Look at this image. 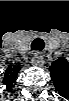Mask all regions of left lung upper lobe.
I'll return each instance as SVG.
<instances>
[{
	"label": "left lung upper lobe",
	"instance_id": "5c2ea615",
	"mask_svg": "<svg viewBox=\"0 0 69 101\" xmlns=\"http://www.w3.org/2000/svg\"><path fill=\"white\" fill-rule=\"evenodd\" d=\"M51 78L56 90L61 95H66L69 85V63L64 58H59L50 66Z\"/></svg>",
	"mask_w": 69,
	"mask_h": 101
}]
</instances>
